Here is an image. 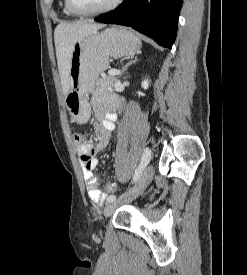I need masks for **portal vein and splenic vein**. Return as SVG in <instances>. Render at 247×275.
Wrapping results in <instances>:
<instances>
[{
    "label": "portal vein and splenic vein",
    "mask_w": 247,
    "mask_h": 275,
    "mask_svg": "<svg viewBox=\"0 0 247 275\" xmlns=\"http://www.w3.org/2000/svg\"><path fill=\"white\" fill-rule=\"evenodd\" d=\"M118 74H119V71L115 70V69H111V70L108 71L109 76H115V75H118Z\"/></svg>",
    "instance_id": "obj_1"
}]
</instances>
